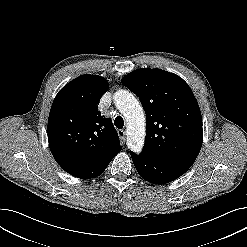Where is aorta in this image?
Returning a JSON list of instances; mask_svg holds the SVG:
<instances>
[{
  "label": "aorta",
  "instance_id": "1",
  "mask_svg": "<svg viewBox=\"0 0 247 247\" xmlns=\"http://www.w3.org/2000/svg\"><path fill=\"white\" fill-rule=\"evenodd\" d=\"M114 103L124 115L127 122L128 148L139 154L144 146L146 135V120L142 106L134 95L127 90H118L114 93Z\"/></svg>",
  "mask_w": 247,
  "mask_h": 247
}]
</instances>
